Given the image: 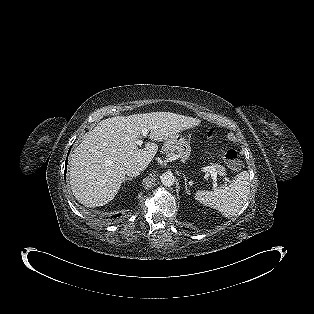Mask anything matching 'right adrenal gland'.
Returning a JSON list of instances; mask_svg holds the SVG:
<instances>
[{
    "instance_id": "2a0ac1e0",
    "label": "right adrenal gland",
    "mask_w": 314,
    "mask_h": 314,
    "mask_svg": "<svg viewBox=\"0 0 314 314\" xmlns=\"http://www.w3.org/2000/svg\"><path fill=\"white\" fill-rule=\"evenodd\" d=\"M127 180H130V181H131L132 178H125V179H124V182L127 181Z\"/></svg>"
}]
</instances>
